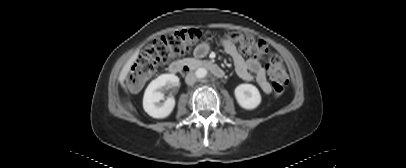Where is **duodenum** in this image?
<instances>
[{
  "label": "duodenum",
  "mask_w": 406,
  "mask_h": 168,
  "mask_svg": "<svg viewBox=\"0 0 406 168\" xmlns=\"http://www.w3.org/2000/svg\"><path fill=\"white\" fill-rule=\"evenodd\" d=\"M197 68H206L217 78H223L225 76L224 70L219 65L208 60L175 61L169 65L168 70L170 73L176 74L188 73Z\"/></svg>",
  "instance_id": "obj_1"
}]
</instances>
